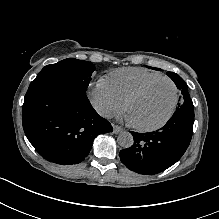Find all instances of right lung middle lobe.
Here are the masks:
<instances>
[{"mask_svg": "<svg viewBox=\"0 0 219 219\" xmlns=\"http://www.w3.org/2000/svg\"><path fill=\"white\" fill-rule=\"evenodd\" d=\"M95 66L87 61L68 58L56 64L45 66L32 83L55 81L74 85L87 90Z\"/></svg>", "mask_w": 219, "mask_h": 219, "instance_id": "right-lung-middle-lobe-1", "label": "right lung middle lobe"}]
</instances>
